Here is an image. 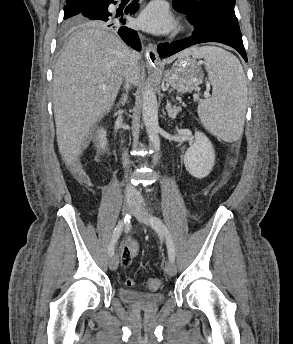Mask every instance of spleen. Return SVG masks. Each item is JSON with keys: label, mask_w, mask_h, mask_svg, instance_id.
I'll list each match as a JSON object with an SVG mask.
<instances>
[{"label": "spleen", "mask_w": 293, "mask_h": 344, "mask_svg": "<svg viewBox=\"0 0 293 344\" xmlns=\"http://www.w3.org/2000/svg\"><path fill=\"white\" fill-rule=\"evenodd\" d=\"M180 55H192L206 62L213 94L198 105L204 127L224 141L237 140L243 133L247 102L246 77L240 61L213 46L193 47Z\"/></svg>", "instance_id": "obj_1"}]
</instances>
